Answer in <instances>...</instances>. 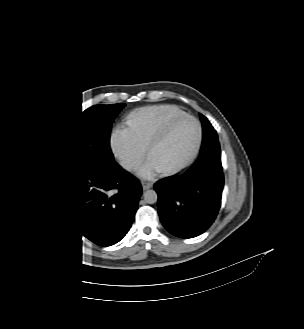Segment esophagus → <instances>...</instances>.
Returning a JSON list of instances; mask_svg holds the SVG:
<instances>
[{
	"label": "esophagus",
	"mask_w": 304,
	"mask_h": 329,
	"mask_svg": "<svg viewBox=\"0 0 304 329\" xmlns=\"http://www.w3.org/2000/svg\"><path fill=\"white\" fill-rule=\"evenodd\" d=\"M153 186L152 182L149 181H142V188L143 190L150 189Z\"/></svg>",
	"instance_id": "obj_1"
}]
</instances>
